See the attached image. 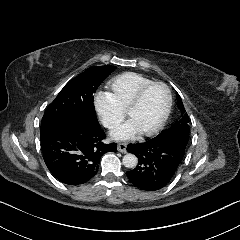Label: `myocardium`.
<instances>
[{
  "label": "myocardium",
  "mask_w": 240,
  "mask_h": 240,
  "mask_svg": "<svg viewBox=\"0 0 240 240\" xmlns=\"http://www.w3.org/2000/svg\"><path fill=\"white\" fill-rule=\"evenodd\" d=\"M153 86H160L165 91V106L162 113V116L158 123L150 130L147 131H141V134L146 137L154 136L156 135L165 125L168 116L170 114L171 106H172V95L169 87L163 83V82H150L142 87L139 88V90L136 92L133 100L130 102V104L127 106V108L124 110V117L129 119V115L141 104V101L143 99L144 94L148 89H150Z\"/></svg>",
  "instance_id": "myocardium-1"
}]
</instances>
